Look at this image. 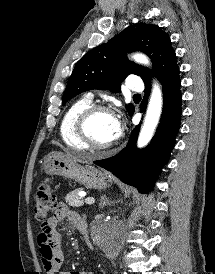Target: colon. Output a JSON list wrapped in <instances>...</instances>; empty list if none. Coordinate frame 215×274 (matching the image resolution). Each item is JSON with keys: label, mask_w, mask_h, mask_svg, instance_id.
<instances>
[{"label": "colon", "mask_w": 215, "mask_h": 274, "mask_svg": "<svg viewBox=\"0 0 215 274\" xmlns=\"http://www.w3.org/2000/svg\"><path fill=\"white\" fill-rule=\"evenodd\" d=\"M58 205L57 195L51 185L45 181L37 189L35 194V217L39 221H45Z\"/></svg>", "instance_id": "obj_1"}]
</instances>
